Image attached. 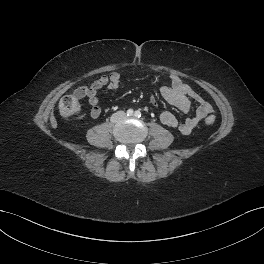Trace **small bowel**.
<instances>
[{
  "mask_svg": "<svg viewBox=\"0 0 264 264\" xmlns=\"http://www.w3.org/2000/svg\"><path fill=\"white\" fill-rule=\"evenodd\" d=\"M120 81V74L113 72L110 75L100 76L86 89L85 96L91 107V117L98 118L101 115L97 92L106 86L109 89H116ZM160 94L167 103L184 113L190 110L192 102L197 104L195 114L187 117L184 122H179L169 111H164L160 115V120L164 125L179 131L183 135H189L200 120L213 114L211 104L176 75H171L169 83L160 87ZM150 101L153 105H156V100L153 96L150 97Z\"/></svg>",
  "mask_w": 264,
  "mask_h": 264,
  "instance_id": "c3829d8e",
  "label": "small bowel"
}]
</instances>
